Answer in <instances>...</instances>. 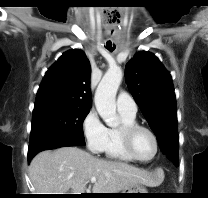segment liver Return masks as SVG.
<instances>
[{
	"label": "liver",
	"mask_w": 208,
	"mask_h": 198,
	"mask_svg": "<svg viewBox=\"0 0 208 198\" xmlns=\"http://www.w3.org/2000/svg\"><path fill=\"white\" fill-rule=\"evenodd\" d=\"M36 194H82L92 177L96 178L92 193H119L133 185L156 186L163 175L118 161L94 157L77 147H62L37 154L29 166Z\"/></svg>",
	"instance_id": "obj_1"
}]
</instances>
